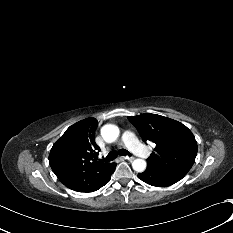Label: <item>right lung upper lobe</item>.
<instances>
[{
  "label": "right lung upper lobe",
  "mask_w": 233,
  "mask_h": 233,
  "mask_svg": "<svg viewBox=\"0 0 233 233\" xmlns=\"http://www.w3.org/2000/svg\"><path fill=\"white\" fill-rule=\"evenodd\" d=\"M97 125L94 118L73 124L50 151L53 172L66 187L77 192L94 191L115 166V163L97 161L100 151L94 137Z\"/></svg>",
  "instance_id": "obj_1"
}]
</instances>
